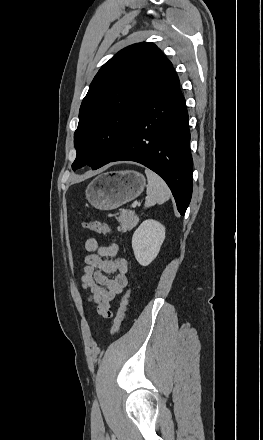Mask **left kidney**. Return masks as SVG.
<instances>
[{
    "mask_svg": "<svg viewBox=\"0 0 263 440\" xmlns=\"http://www.w3.org/2000/svg\"><path fill=\"white\" fill-rule=\"evenodd\" d=\"M165 239V227L153 219L143 221L132 237V248L138 263L148 266L158 255Z\"/></svg>",
    "mask_w": 263,
    "mask_h": 440,
    "instance_id": "1",
    "label": "left kidney"
}]
</instances>
